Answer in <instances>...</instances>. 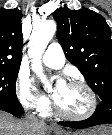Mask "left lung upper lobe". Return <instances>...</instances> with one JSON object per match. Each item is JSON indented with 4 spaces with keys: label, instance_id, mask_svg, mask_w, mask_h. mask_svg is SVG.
Segmentation results:
<instances>
[{
    "label": "left lung upper lobe",
    "instance_id": "obj_1",
    "mask_svg": "<svg viewBox=\"0 0 112 135\" xmlns=\"http://www.w3.org/2000/svg\"><path fill=\"white\" fill-rule=\"evenodd\" d=\"M57 39L65 56L101 100L112 98L111 30L103 16L87 8H59L53 13Z\"/></svg>",
    "mask_w": 112,
    "mask_h": 135
}]
</instances>
